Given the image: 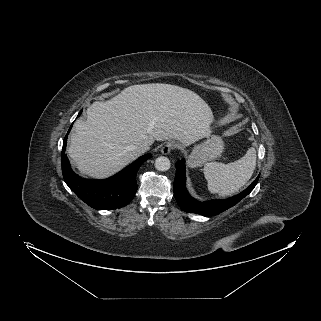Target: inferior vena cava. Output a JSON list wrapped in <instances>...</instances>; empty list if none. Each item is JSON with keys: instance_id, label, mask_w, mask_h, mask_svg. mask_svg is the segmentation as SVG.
I'll return each instance as SVG.
<instances>
[{"instance_id": "602c4592", "label": "inferior vena cava", "mask_w": 321, "mask_h": 321, "mask_svg": "<svg viewBox=\"0 0 321 321\" xmlns=\"http://www.w3.org/2000/svg\"><path fill=\"white\" fill-rule=\"evenodd\" d=\"M135 149L137 152H139L141 154V153H144L147 150H149L150 147L147 143H142V144L137 145Z\"/></svg>"}]
</instances>
